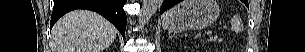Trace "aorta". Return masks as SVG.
Listing matches in <instances>:
<instances>
[{
  "mask_svg": "<svg viewBox=\"0 0 305 52\" xmlns=\"http://www.w3.org/2000/svg\"><path fill=\"white\" fill-rule=\"evenodd\" d=\"M163 0H143L139 22L144 24L160 9Z\"/></svg>",
  "mask_w": 305,
  "mask_h": 52,
  "instance_id": "1",
  "label": "aorta"
}]
</instances>
